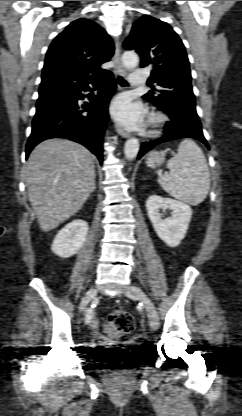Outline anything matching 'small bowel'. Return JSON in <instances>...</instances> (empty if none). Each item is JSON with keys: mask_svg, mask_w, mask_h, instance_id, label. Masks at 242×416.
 <instances>
[{"mask_svg": "<svg viewBox=\"0 0 242 416\" xmlns=\"http://www.w3.org/2000/svg\"><path fill=\"white\" fill-rule=\"evenodd\" d=\"M92 325H93V327H94V329L96 330L97 329V325H98V322H97V319H93V321H92Z\"/></svg>", "mask_w": 242, "mask_h": 416, "instance_id": "obj_1", "label": "small bowel"}]
</instances>
